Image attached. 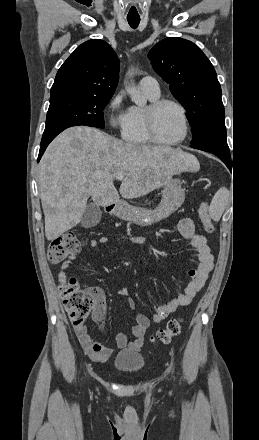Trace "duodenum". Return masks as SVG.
I'll use <instances>...</instances> for the list:
<instances>
[{"instance_id": "obj_1", "label": "duodenum", "mask_w": 259, "mask_h": 440, "mask_svg": "<svg viewBox=\"0 0 259 440\" xmlns=\"http://www.w3.org/2000/svg\"><path fill=\"white\" fill-rule=\"evenodd\" d=\"M118 206H119L118 202H112L106 206V208H105L106 212L109 214H112L115 212V210L117 209Z\"/></svg>"}]
</instances>
